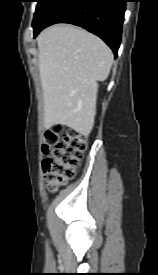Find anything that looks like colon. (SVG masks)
<instances>
[{
  "label": "colon",
  "mask_w": 158,
  "mask_h": 275,
  "mask_svg": "<svg viewBox=\"0 0 158 275\" xmlns=\"http://www.w3.org/2000/svg\"><path fill=\"white\" fill-rule=\"evenodd\" d=\"M85 147L84 136L75 129L54 125L45 131L43 171L50 191H55L74 177Z\"/></svg>",
  "instance_id": "obj_1"
}]
</instances>
